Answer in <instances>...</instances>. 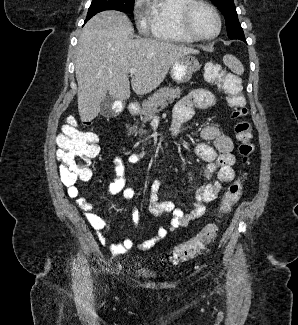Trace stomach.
Segmentation results:
<instances>
[{
	"label": "stomach",
	"instance_id": "1",
	"mask_svg": "<svg viewBox=\"0 0 298 325\" xmlns=\"http://www.w3.org/2000/svg\"><path fill=\"white\" fill-rule=\"evenodd\" d=\"M202 64L194 54H183L182 58H178L170 68V76L177 84L189 82L193 78L195 72L200 70Z\"/></svg>",
	"mask_w": 298,
	"mask_h": 325
}]
</instances>
